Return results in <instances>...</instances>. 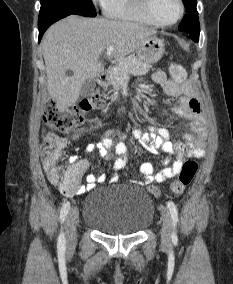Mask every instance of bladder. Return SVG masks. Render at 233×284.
Returning <instances> with one entry per match:
<instances>
[{
    "mask_svg": "<svg viewBox=\"0 0 233 284\" xmlns=\"http://www.w3.org/2000/svg\"><path fill=\"white\" fill-rule=\"evenodd\" d=\"M155 205L149 194L135 186L96 190L84 203L83 222L107 235H135L152 223Z\"/></svg>",
    "mask_w": 233,
    "mask_h": 284,
    "instance_id": "obj_1",
    "label": "bladder"
}]
</instances>
